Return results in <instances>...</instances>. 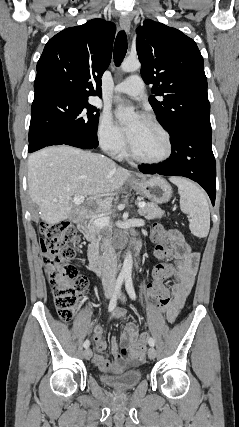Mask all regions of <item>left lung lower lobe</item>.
I'll use <instances>...</instances> for the list:
<instances>
[{"label":"left lung lower lobe","mask_w":239,"mask_h":427,"mask_svg":"<svg viewBox=\"0 0 239 427\" xmlns=\"http://www.w3.org/2000/svg\"><path fill=\"white\" fill-rule=\"evenodd\" d=\"M211 127L186 126L171 136L172 153L166 161L139 165L144 174L183 176L199 183L212 204L216 196V163L211 148Z\"/></svg>","instance_id":"left-lung-lower-lobe-1"}]
</instances>
